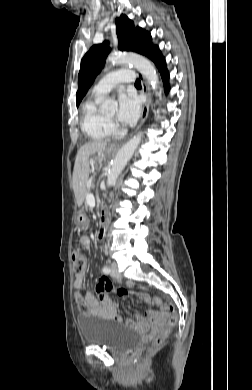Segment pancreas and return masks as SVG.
I'll list each match as a JSON object with an SVG mask.
<instances>
[{
  "mask_svg": "<svg viewBox=\"0 0 252 390\" xmlns=\"http://www.w3.org/2000/svg\"><path fill=\"white\" fill-rule=\"evenodd\" d=\"M87 193H89V191H88ZM82 205H85V206H83V210H84V211H88V210H89V207H88V205H87V202H82Z\"/></svg>",
  "mask_w": 252,
  "mask_h": 390,
  "instance_id": "obj_1",
  "label": "pancreas"
}]
</instances>
